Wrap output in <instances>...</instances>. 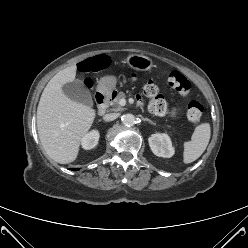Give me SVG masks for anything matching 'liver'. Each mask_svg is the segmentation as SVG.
Segmentation results:
<instances>
[{
	"label": "liver",
	"instance_id": "liver-1",
	"mask_svg": "<svg viewBox=\"0 0 248 248\" xmlns=\"http://www.w3.org/2000/svg\"><path fill=\"white\" fill-rule=\"evenodd\" d=\"M72 65L58 72L46 85L37 108V130L41 144L54 161L67 164L79 153L83 137L96 116L93 108L68 98L62 87L76 77Z\"/></svg>",
	"mask_w": 248,
	"mask_h": 248
}]
</instances>
